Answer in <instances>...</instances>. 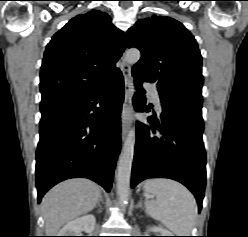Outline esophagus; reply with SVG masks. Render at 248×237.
Segmentation results:
<instances>
[{"instance_id": "obj_1", "label": "esophagus", "mask_w": 248, "mask_h": 237, "mask_svg": "<svg viewBox=\"0 0 248 237\" xmlns=\"http://www.w3.org/2000/svg\"><path fill=\"white\" fill-rule=\"evenodd\" d=\"M121 71L124 77L125 86V98L121 112L122 139L125 140L131 123L133 81L131 75V68L126 62L124 56L122 58Z\"/></svg>"}]
</instances>
